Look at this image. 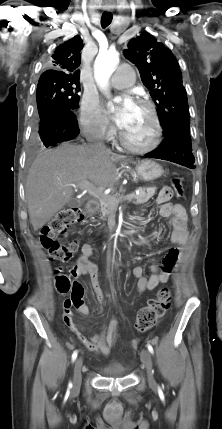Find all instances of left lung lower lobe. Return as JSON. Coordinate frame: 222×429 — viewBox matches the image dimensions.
I'll return each mask as SVG.
<instances>
[{"label": "left lung lower lobe", "instance_id": "1", "mask_svg": "<svg viewBox=\"0 0 222 429\" xmlns=\"http://www.w3.org/2000/svg\"><path fill=\"white\" fill-rule=\"evenodd\" d=\"M164 135L165 139L159 147L145 156L168 160L194 169L195 158L192 153L190 129L177 128Z\"/></svg>", "mask_w": 222, "mask_h": 429}]
</instances>
